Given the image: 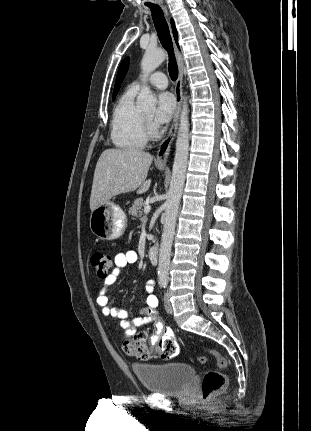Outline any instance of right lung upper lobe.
Listing matches in <instances>:
<instances>
[{"label": "right lung upper lobe", "mask_w": 311, "mask_h": 431, "mask_svg": "<svg viewBox=\"0 0 311 431\" xmlns=\"http://www.w3.org/2000/svg\"><path fill=\"white\" fill-rule=\"evenodd\" d=\"M171 26H172V31H173L174 39L176 41V44L178 45V33H177L176 28H175L174 21L172 19H171Z\"/></svg>", "instance_id": "obj_1"}]
</instances>
